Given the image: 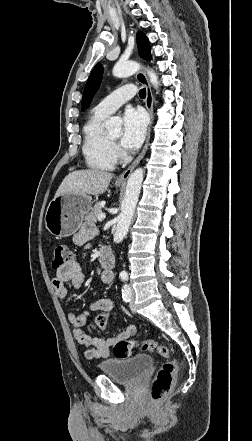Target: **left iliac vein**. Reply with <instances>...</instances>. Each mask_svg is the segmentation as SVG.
<instances>
[{"mask_svg": "<svg viewBox=\"0 0 252 441\" xmlns=\"http://www.w3.org/2000/svg\"><path fill=\"white\" fill-rule=\"evenodd\" d=\"M129 289H130V292H131V302L129 304V307H130L132 312H135L136 311V306H135V303H134V291H133L132 288H129Z\"/></svg>", "mask_w": 252, "mask_h": 441, "instance_id": "4c4485c4", "label": "left iliac vein"}]
</instances>
